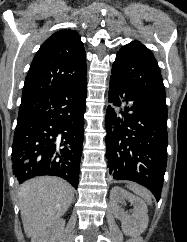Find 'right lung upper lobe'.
I'll use <instances>...</instances> for the list:
<instances>
[{
	"instance_id": "right-lung-upper-lobe-1",
	"label": "right lung upper lobe",
	"mask_w": 187,
	"mask_h": 242,
	"mask_svg": "<svg viewBox=\"0 0 187 242\" xmlns=\"http://www.w3.org/2000/svg\"><path fill=\"white\" fill-rule=\"evenodd\" d=\"M86 74V53L79 34L73 30L58 31L36 53L25 79L22 100L74 85Z\"/></svg>"
}]
</instances>
